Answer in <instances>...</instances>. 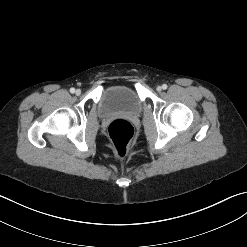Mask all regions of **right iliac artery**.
<instances>
[{"instance_id": "1", "label": "right iliac artery", "mask_w": 247, "mask_h": 247, "mask_svg": "<svg viewBox=\"0 0 247 247\" xmlns=\"http://www.w3.org/2000/svg\"><path fill=\"white\" fill-rule=\"evenodd\" d=\"M70 92H71V93H75V89H74V88H71V89H70Z\"/></svg>"}]
</instances>
